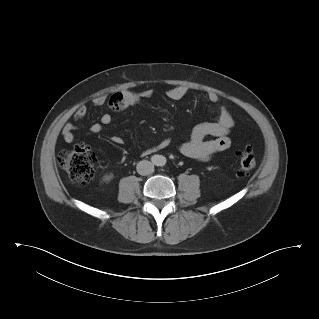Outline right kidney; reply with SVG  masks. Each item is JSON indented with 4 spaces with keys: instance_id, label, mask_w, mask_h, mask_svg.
<instances>
[{
    "instance_id": "right-kidney-1",
    "label": "right kidney",
    "mask_w": 319,
    "mask_h": 319,
    "mask_svg": "<svg viewBox=\"0 0 319 319\" xmlns=\"http://www.w3.org/2000/svg\"><path fill=\"white\" fill-rule=\"evenodd\" d=\"M109 179H110V176H109V175H106V176L104 177V181H109Z\"/></svg>"
}]
</instances>
